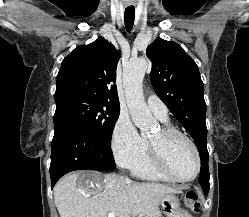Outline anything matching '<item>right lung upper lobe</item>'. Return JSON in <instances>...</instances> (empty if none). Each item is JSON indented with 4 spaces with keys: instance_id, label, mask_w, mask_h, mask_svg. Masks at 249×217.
<instances>
[{
    "instance_id": "right-lung-upper-lobe-1",
    "label": "right lung upper lobe",
    "mask_w": 249,
    "mask_h": 217,
    "mask_svg": "<svg viewBox=\"0 0 249 217\" xmlns=\"http://www.w3.org/2000/svg\"><path fill=\"white\" fill-rule=\"evenodd\" d=\"M118 60V51L104 38L78 46L62 61L54 96L76 93L119 105Z\"/></svg>"
}]
</instances>
